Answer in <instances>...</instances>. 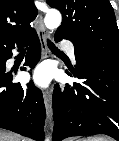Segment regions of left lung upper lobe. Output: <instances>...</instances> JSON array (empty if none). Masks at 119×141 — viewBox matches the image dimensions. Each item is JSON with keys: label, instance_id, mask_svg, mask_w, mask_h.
Segmentation results:
<instances>
[{"label": "left lung upper lobe", "instance_id": "left-lung-upper-lobe-1", "mask_svg": "<svg viewBox=\"0 0 119 141\" xmlns=\"http://www.w3.org/2000/svg\"><path fill=\"white\" fill-rule=\"evenodd\" d=\"M61 11L63 20L55 35L75 46V58L119 62L118 27L108 0H47Z\"/></svg>", "mask_w": 119, "mask_h": 141}]
</instances>
